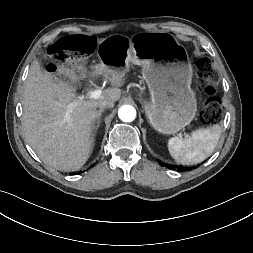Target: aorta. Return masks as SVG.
<instances>
[{
  "label": "aorta",
  "instance_id": "1",
  "mask_svg": "<svg viewBox=\"0 0 253 253\" xmlns=\"http://www.w3.org/2000/svg\"><path fill=\"white\" fill-rule=\"evenodd\" d=\"M118 116L124 122H132L136 118V110L131 105H123L118 111Z\"/></svg>",
  "mask_w": 253,
  "mask_h": 253
}]
</instances>
